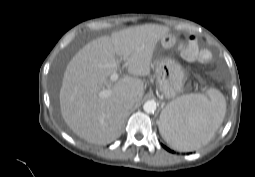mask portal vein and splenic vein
I'll list each match as a JSON object with an SVG mask.
<instances>
[{"instance_id": "18ae733b", "label": "portal vein and splenic vein", "mask_w": 255, "mask_h": 177, "mask_svg": "<svg viewBox=\"0 0 255 177\" xmlns=\"http://www.w3.org/2000/svg\"><path fill=\"white\" fill-rule=\"evenodd\" d=\"M123 59H125V57H123ZM118 78H119V75H118L117 73H113V74L110 76V80H111L112 82L118 80ZM110 94H111V91H110L109 89H104V90L100 91L98 95H99V97H101V98H106V97L110 96Z\"/></svg>"}]
</instances>
